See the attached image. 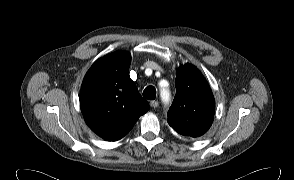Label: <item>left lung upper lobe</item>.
Segmentation results:
<instances>
[{
    "instance_id": "left-lung-upper-lobe-1",
    "label": "left lung upper lobe",
    "mask_w": 294,
    "mask_h": 180,
    "mask_svg": "<svg viewBox=\"0 0 294 180\" xmlns=\"http://www.w3.org/2000/svg\"><path fill=\"white\" fill-rule=\"evenodd\" d=\"M176 95L167 122L180 135L199 137L211 126L215 112L212 91L193 65L180 66L176 73Z\"/></svg>"
}]
</instances>
